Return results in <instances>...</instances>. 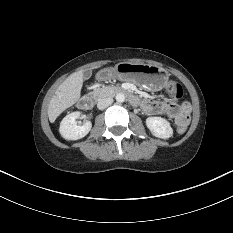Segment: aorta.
<instances>
[{"label": "aorta", "mask_w": 233, "mask_h": 233, "mask_svg": "<svg viewBox=\"0 0 233 233\" xmlns=\"http://www.w3.org/2000/svg\"><path fill=\"white\" fill-rule=\"evenodd\" d=\"M115 99H116L117 102L122 103V102L125 101V95L123 93H118L116 95Z\"/></svg>", "instance_id": "762f6f07"}]
</instances>
